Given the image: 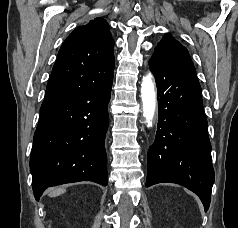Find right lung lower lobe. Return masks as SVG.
Returning a JSON list of instances; mask_svg holds the SVG:
<instances>
[{"mask_svg": "<svg viewBox=\"0 0 238 228\" xmlns=\"http://www.w3.org/2000/svg\"><path fill=\"white\" fill-rule=\"evenodd\" d=\"M113 74L90 88L44 99L30 156L33 191L79 181L108 183L104 147Z\"/></svg>", "mask_w": 238, "mask_h": 228, "instance_id": "98d812e1", "label": "right lung lower lobe"}]
</instances>
